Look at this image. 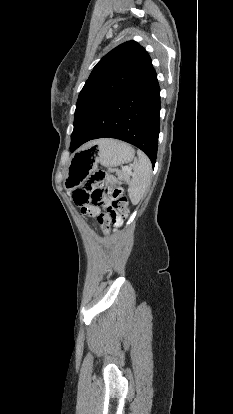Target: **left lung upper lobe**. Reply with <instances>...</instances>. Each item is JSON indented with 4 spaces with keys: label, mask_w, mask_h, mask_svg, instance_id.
<instances>
[{
    "label": "left lung upper lobe",
    "mask_w": 233,
    "mask_h": 414,
    "mask_svg": "<svg viewBox=\"0 0 233 414\" xmlns=\"http://www.w3.org/2000/svg\"><path fill=\"white\" fill-rule=\"evenodd\" d=\"M152 67L147 51L135 41H127L111 50L93 68L81 90L75 119L100 100L132 85Z\"/></svg>",
    "instance_id": "obj_1"
}]
</instances>
